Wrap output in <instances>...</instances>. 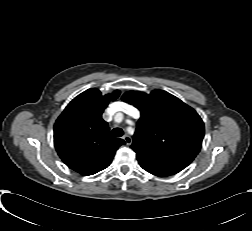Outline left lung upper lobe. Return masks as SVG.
Returning <instances> with one entry per match:
<instances>
[{"label":"left lung upper lobe","mask_w":252,"mask_h":231,"mask_svg":"<svg viewBox=\"0 0 252 231\" xmlns=\"http://www.w3.org/2000/svg\"><path fill=\"white\" fill-rule=\"evenodd\" d=\"M122 100L141 112L131 148L137 157L191 163L201 149L204 123L196 111L172 94L129 91Z\"/></svg>","instance_id":"1"}]
</instances>
